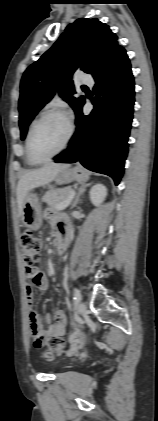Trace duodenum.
Segmentation results:
<instances>
[{
    "instance_id": "410a0bca",
    "label": "duodenum",
    "mask_w": 158,
    "mask_h": 421,
    "mask_svg": "<svg viewBox=\"0 0 158 421\" xmlns=\"http://www.w3.org/2000/svg\"><path fill=\"white\" fill-rule=\"evenodd\" d=\"M68 240L69 239L67 235H63L59 238L58 244H57L59 254H62L66 250L68 246Z\"/></svg>"
}]
</instances>
